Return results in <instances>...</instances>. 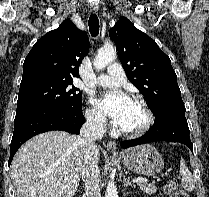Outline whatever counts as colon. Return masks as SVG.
<instances>
[{
	"mask_svg": "<svg viewBox=\"0 0 209 197\" xmlns=\"http://www.w3.org/2000/svg\"><path fill=\"white\" fill-rule=\"evenodd\" d=\"M165 192L169 195V197H189L188 194L179 188L178 184L170 180L165 185Z\"/></svg>",
	"mask_w": 209,
	"mask_h": 197,
	"instance_id": "5ec220e1",
	"label": "colon"
}]
</instances>
